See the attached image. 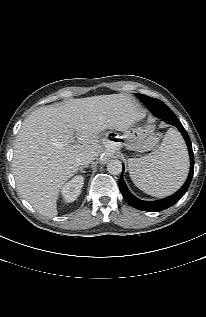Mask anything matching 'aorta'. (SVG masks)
Segmentation results:
<instances>
[{
	"label": "aorta",
	"instance_id": "obj_1",
	"mask_svg": "<svg viewBox=\"0 0 206 317\" xmlns=\"http://www.w3.org/2000/svg\"><path fill=\"white\" fill-rule=\"evenodd\" d=\"M107 171L112 175H118L122 172V163L118 159L110 160L107 164Z\"/></svg>",
	"mask_w": 206,
	"mask_h": 317
}]
</instances>
